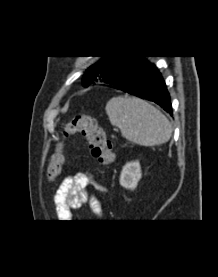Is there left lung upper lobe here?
<instances>
[{
    "mask_svg": "<svg viewBox=\"0 0 218 277\" xmlns=\"http://www.w3.org/2000/svg\"><path fill=\"white\" fill-rule=\"evenodd\" d=\"M103 59L91 65L83 76V85L88 86L94 81L103 82L112 73L125 67L136 56H101Z\"/></svg>",
    "mask_w": 218,
    "mask_h": 277,
    "instance_id": "1",
    "label": "left lung upper lobe"
}]
</instances>
